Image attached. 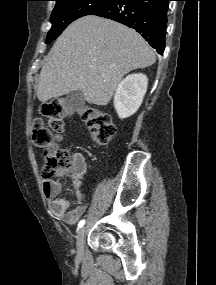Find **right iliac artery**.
<instances>
[{"instance_id":"1","label":"right iliac artery","mask_w":216,"mask_h":285,"mask_svg":"<svg viewBox=\"0 0 216 285\" xmlns=\"http://www.w3.org/2000/svg\"><path fill=\"white\" fill-rule=\"evenodd\" d=\"M84 224H85V220L83 219L78 223V227L81 228L83 227Z\"/></svg>"}]
</instances>
